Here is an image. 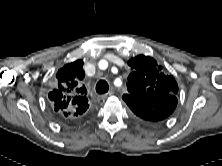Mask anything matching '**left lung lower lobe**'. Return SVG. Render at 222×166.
I'll list each match as a JSON object with an SVG mask.
<instances>
[{"label":"left lung lower lobe","instance_id":"left-lung-lower-lobe-1","mask_svg":"<svg viewBox=\"0 0 222 166\" xmlns=\"http://www.w3.org/2000/svg\"><path fill=\"white\" fill-rule=\"evenodd\" d=\"M146 99H137L136 102L145 103ZM160 104L156 103L154 108L146 107L148 110L143 112V110H136L134 115L136 118L145 123H155L160 122L170 116L177 106V98L174 95H169L165 98H162ZM148 104H151L148 102Z\"/></svg>","mask_w":222,"mask_h":166}]
</instances>
